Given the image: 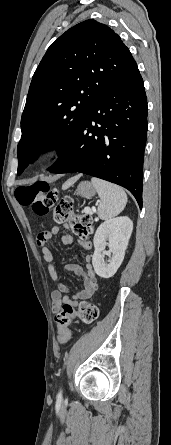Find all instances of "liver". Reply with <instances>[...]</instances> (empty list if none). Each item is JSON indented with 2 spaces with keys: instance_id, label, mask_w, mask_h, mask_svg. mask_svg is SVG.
<instances>
[{
  "instance_id": "1",
  "label": "liver",
  "mask_w": 171,
  "mask_h": 445,
  "mask_svg": "<svg viewBox=\"0 0 171 445\" xmlns=\"http://www.w3.org/2000/svg\"><path fill=\"white\" fill-rule=\"evenodd\" d=\"M76 179H77V178H74V179H71V180L67 181V182L64 184V187H65V188L69 187V186H70Z\"/></svg>"
}]
</instances>
